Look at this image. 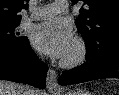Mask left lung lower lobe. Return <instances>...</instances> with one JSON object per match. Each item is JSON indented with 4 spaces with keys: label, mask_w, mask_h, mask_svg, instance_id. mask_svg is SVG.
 <instances>
[{
    "label": "left lung lower lobe",
    "mask_w": 119,
    "mask_h": 95,
    "mask_svg": "<svg viewBox=\"0 0 119 95\" xmlns=\"http://www.w3.org/2000/svg\"><path fill=\"white\" fill-rule=\"evenodd\" d=\"M83 65L63 71L59 84H77L103 78H119V44L110 48L87 49Z\"/></svg>",
    "instance_id": "0a47b994"
}]
</instances>
